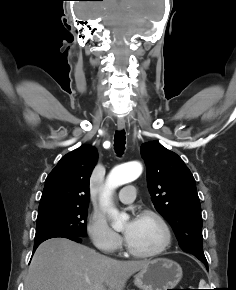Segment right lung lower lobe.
<instances>
[{"instance_id":"right-lung-lower-lobe-1","label":"right lung lower lobe","mask_w":236,"mask_h":290,"mask_svg":"<svg viewBox=\"0 0 236 290\" xmlns=\"http://www.w3.org/2000/svg\"><path fill=\"white\" fill-rule=\"evenodd\" d=\"M64 238H68V239L73 240V241L78 242V243L81 242V239H80V238H76V237H64ZM42 242H43V241H40V242H36V243H34V250H33V252L36 250V248H37V247H38Z\"/></svg>"}]
</instances>
